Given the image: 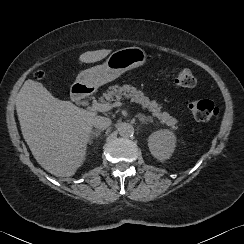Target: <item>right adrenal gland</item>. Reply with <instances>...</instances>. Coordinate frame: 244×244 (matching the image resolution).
Returning a JSON list of instances; mask_svg holds the SVG:
<instances>
[{"label":"right adrenal gland","mask_w":244,"mask_h":244,"mask_svg":"<svg viewBox=\"0 0 244 244\" xmlns=\"http://www.w3.org/2000/svg\"><path fill=\"white\" fill-rule=\"evenodd\" d=\"M101 132H102V130H95V131H93L92 133H91V138H90V140H89V144H91L93 141H92V139L94 138V137H98L100 134H101Z\"/></svg>","instance_id":"obj_1"}]
</instances>
